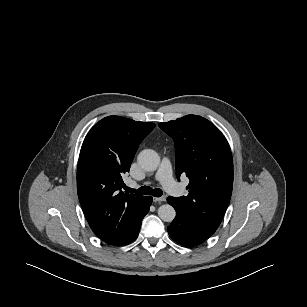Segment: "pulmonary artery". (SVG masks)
<instances>
[{"label":"pulmonary artery","mask_w":307,"mask_h":307,"mask_svg":"<svg viewBox=\"0 0 307 307\" xmlns=\"http://www.w3.org/2000/svg\"><path fill=\"white\" fill-rule=\"evenodd\" d=\"M155 178L169 193L176 195L181 190L179 185L174 181L172 177V166L168 158H163ZM129 184L130 186H135V183L132 181Z\"/></svg>","instance_id":"obj_1"}]
</instances>
